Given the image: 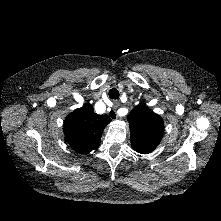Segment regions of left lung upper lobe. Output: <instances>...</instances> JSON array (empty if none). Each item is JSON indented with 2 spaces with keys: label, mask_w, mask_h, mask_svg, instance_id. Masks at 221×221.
I'll use <instances>...</instances> for the list:
<instances>
[{
  "label": "left lung upper lobe",
  "mask_w": 221,
  "mask_h": 221,
  "mask_svg": "<svg viewBox=\"0 0 221 221\" xmlns=\"http://www.w3.org/2000/svg\"><path fill=\"white\" fill-rule=\"evenodd\" d=\"M128 121L133 149L141 154L152 152L162 139V118L151 112L147 106L138 105L131 111Z\"/></svg>",
  "instance_id": "1"
}]
</instances>
